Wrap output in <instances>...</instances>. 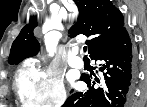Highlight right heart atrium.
<instances>
[{
  "instance_id": "obj_1",
  "label": "right heart atrium",
  "mask_w": 147,
  "mask_h": 107,
  "mask_svg": "<svg viewBox=\"0 0 147 107\" xmlns=\"http://www.w3.org/2000/svg\"><path fill=\"white\" fill-rule=\"evenodd\" d=\"M16 91L24 106L57 107L67 98L62 75L52 67L44 68L36 62L19 70Z\"/></svg>"
}]
</instances>
